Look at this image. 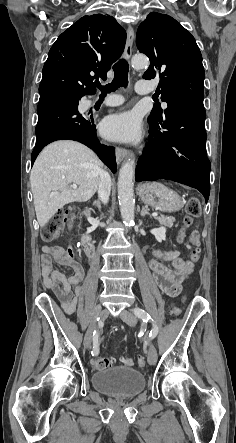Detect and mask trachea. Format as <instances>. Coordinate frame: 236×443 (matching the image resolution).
<instances>
[{"label":"trachea","instance_id":"obj_1","mask_svg":"<svg viewBox=\"0 0 236 443\" xmlns=\"http://www.w3.org/2000/svg\"><path fill=\"white\" fill-rule=\"evenodd\" d=\"M114 79L113 81L106 85L101 86L99 82L94 85L101 90V96H106L107 93L117 90L119 87H127L128 85V72L129 66L125 59H120L114 66Z\"/></svg>","mask_w":236,"mask_h":443}]
</instances>
